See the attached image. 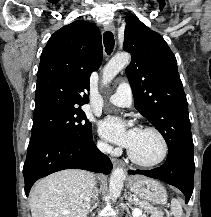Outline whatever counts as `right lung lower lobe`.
Returning a JSON list of instances; mask_svg holds the SVG:
<instances>
[{
	"instance_id": "obj_1",
	"label": "right lung lower lobe",
	"mask_w": 211,
	"mask_h": 217,
	"mask_svg": "<svg viewBox=\"0 0 211 217\" xmlns=\"http://www.w3.org/2000/svg\"><path fill=\"white\" fill-rule=\"evenodd\" d=\"M64 169L109 174L112 163L92 140L81 144L55 135H31L23 167L26 196L36 180Z\"/></svg>"
}]
</instances>
